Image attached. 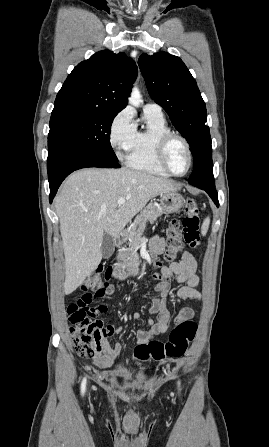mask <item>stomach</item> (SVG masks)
I'll use <instances>...</instances> for the list:
<instances>
[{
    "label": "stomach",
    "mask_w": 269,
    "mask_h": 447,
    "mask_svg": "<svg viewBox=\"0 0 269 447\" xmlns=\"http://www.w3.org/2000/svg\"><path fill=\"white\" fill-rule=\"evenodd\" d=\"M184 204V198L181 194L176 192H166V194H160V206L163 208V214H174V212H180Z\"/></svg>",
    "instance_id": "1"
}]
</instances>
